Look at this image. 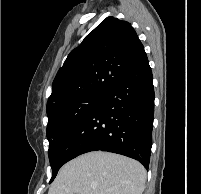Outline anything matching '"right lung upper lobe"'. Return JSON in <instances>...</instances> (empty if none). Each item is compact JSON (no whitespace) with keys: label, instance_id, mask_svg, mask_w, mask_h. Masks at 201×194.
Listing matches in <instances>:
<instances>
[{"label":"right lung upper lobe","instance_id":"obj_1","mask_svg":"<svg viewBox=\"0 0 201 194\" xmlns=\"http://www.w3.org/2000/svg\"><path fill=\"white\" fill-rule=\"evenodd\" d=\"M146 58L131 24L107 17L70 52L59 69L47 113L82 97L103 95Z\"/></svg>","mask_w":201,"mask_h":194}]
</instances>
